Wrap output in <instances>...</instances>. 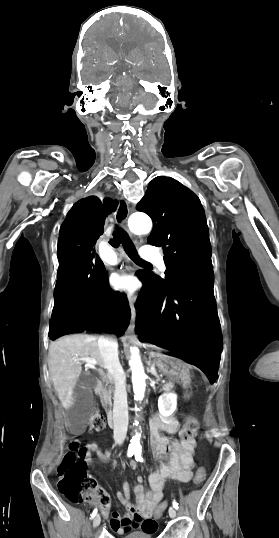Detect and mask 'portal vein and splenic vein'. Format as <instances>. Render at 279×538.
Masks as SVG:
<instances>
[{
	"instance_id": "portal-vein-and-splenic-vein-1",
	"label": "portal vein and splenic vein",
	"mask_w": 279,
	"mask_h": 538,
	"mask_svg": "<svg viewBox=\"0 0 279 538\" xmlns=\"http://www.w3.org/2000/svg\"><path fill=\"white\" fill-rule=\"evenodd\" d=\"M79 360L86 362V366H96L97 364L96 360H93V358H79ZM162 383H167V380H162Z\"/></svg>"
}]
</instances>
